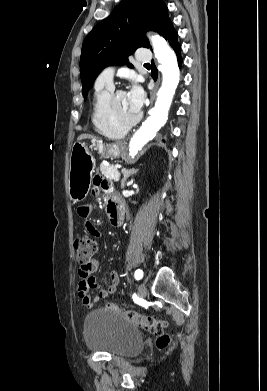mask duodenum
I'll return each mask as SVG.
<instances>
[{
  "label": "duodenum",
  "mask_w": 267,
  "mask_h": 391,
  "mask_svg": "<svg viewBox=\"0 0 267 391\" xmlns=\"http://www.w3.org/2000/svg\"><path fill=\"white\" fill-rule=\"evenodd\" d=\"M122 221H123V218H122V217L116 216V217L113 219V224L116 225V226H119V225H121Z\"/></svg>",
  "instance_id": "1"
}]
</instances>
